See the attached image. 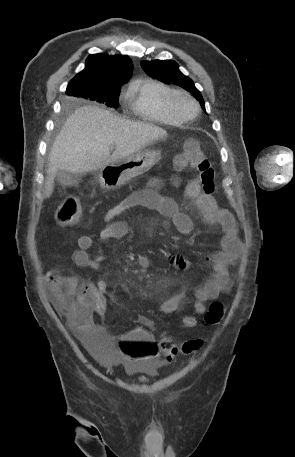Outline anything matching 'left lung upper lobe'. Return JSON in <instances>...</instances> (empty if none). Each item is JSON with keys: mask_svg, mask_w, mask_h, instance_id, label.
<instances>
[{"mask_svg": "<svg viewBox=\"0 0 295 457\" xmlns=\"http://www.w3.org/2000/svg\"><path fill=\"white\" fill-rule=\"evenodd\" d=\"M141 67L147 75L158 80L168 81L179 85L192 93L200 101L205 110L204 100L199 90L194 86L193 81L179 71L178 64L173 60L142 61Z\"/></svg>", "mask_w": 295, "mask_h": 457, "instance_id": "1", "label": "left lung upper lobe"}]
</instances>
